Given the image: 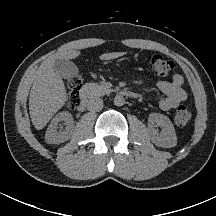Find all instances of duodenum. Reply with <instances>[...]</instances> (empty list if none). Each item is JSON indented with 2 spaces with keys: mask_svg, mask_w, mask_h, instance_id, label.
<instances>
[{
  "mask_svg": "<svg viewBox=\"0 0 216 216\" xmlns=\"http://www.w3.org/2000/svg\"><path fill=\"white\" fill-rule=\"evenodd\" d=\"M115 93L117 95L124 96L127 98H132V99H136L139 97V95L136 92H133L128 89H120V90L115 91ZM87 104H88V94L85 89H82L80 92V102L78 105L79 110H84Z\"/></svg>",
  "mask_w": 216,
  "mask_h": 216,
  "instance_id": "1",
  "label": "duodenum"
}]
</instances>
